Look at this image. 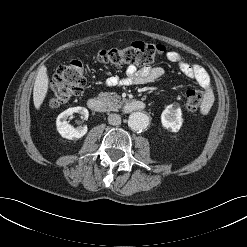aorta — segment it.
Returning <instances> with one entry per match:
<instances>
[{"label":"aorta","instance_id":"aorta-1","mask_svg":"<svg viewBox=\"0 0 247 247\" xmlns=\"http://www.w3.org/2000/svg\"><path fill=\"white\" fill-rule=\"evenodd\" d=\"M128 125L133 131H142L149 125V117L142 112H133L128 118Z\"/></svg>","mask_w":247,"mask_h":247}]
</instances>
